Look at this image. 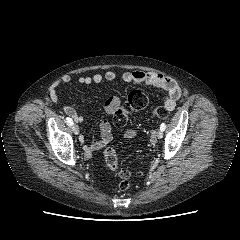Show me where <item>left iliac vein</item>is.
Returning <instances> with one entry per match:
<instances>
[{
    "instance_id": "left-iliac-vein-1",
    "label": "left iliac vein",
    "mask_w": 240,
    "mask_h": 240,
    "mask_svg": "<svg viewBox=\"0 0 240 240\" xmlns=\"http://www.w3.org/2000/svg\"><path fill=\"white\" fill-rule=\"evenodd\" d=\"M156 136L157 138H162L163 137V131L161 129H158L157 132H156Z\"/></svg>"
}]
</instances>
